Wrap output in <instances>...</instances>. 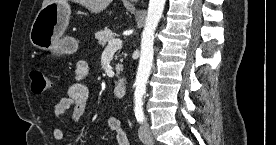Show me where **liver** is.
Returning a JSON list of instances; mask_svg holds the SVG:
<instances>
[{
  "label": "liver",
  "mask_w": 276,
  "mask_h": 145,
  "mask_svg": "<svg viewBox=\"0 0 276 145\" xmlns=\"http://www.w3.org/2000/svg\"><path fill=\"white\" fill-rule=\"evenodd\" d=\"M53 0H43L42 7L46 6ZM57 1H65L67 0H57ZM72 2L78 3L88 9L91 13L98 14L105 10L112 0H71Z\"/></svg>",
  "instance_id": "6515ba94"
}]
</instances>
